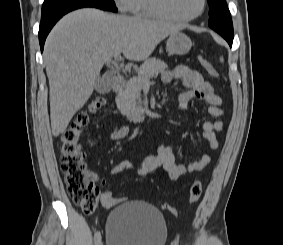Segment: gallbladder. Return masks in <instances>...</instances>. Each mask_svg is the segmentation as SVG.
Listing matches in <instances>:
<instances>
[{
	"instance_id": "bac80fb5",
	"label": "gallbladder",
	"mask_w": 283,
	"mask_h": 245,
	"mask_svg": "<svg viewBox=\"0 0 283 245\" xmlns=\"http://www.w3.org/2000/svg\"><path fill=\"white\" fill-rule=\"evenodd\" d=\"M111 83L106 77L98 78L96 80L95 88L99 93H106L110 90Z\"/></svg>"
}]
</instances>
